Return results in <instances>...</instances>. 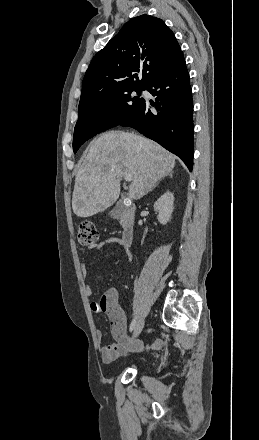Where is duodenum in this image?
Here are the masks:
<instances>
[{"label":"duodenum","instance_id":"obj_1","mask_svg":"<svg viewBox=\"0 0 259 440\" xmlns=\"http://www.w3.org/2000/svg\"><path fill=\"white\" fill-rule=\"evenodd\" d=\"M135 211L136 207L131 203L122 212L123 230L121 238L126 245H131L133 241Z\"/></svg>","mask_w":259,"mask_h":440}]
</instances>
